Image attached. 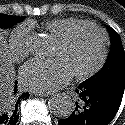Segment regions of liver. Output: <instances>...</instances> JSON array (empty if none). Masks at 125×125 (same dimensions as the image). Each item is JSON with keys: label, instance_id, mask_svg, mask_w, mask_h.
<instances>
[{"label": "liver", "instance_id": "liver-1", "mask_svg": "<svg viewBox=\"0 0 125 125\" xmlns=\"http://www.w3.org/2000/svg\"><path fill=\"white\" fill-rule=\"evenodd\" d=\"M14 77L15 72L11 62V55L7 50L4 37L0 34V109L5 101L11 99Z\"/></svg>", "mask_w": 125, "mask_h": 125}]
</instances>
